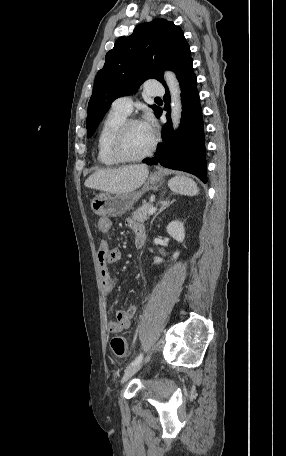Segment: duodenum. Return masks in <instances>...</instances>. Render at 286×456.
<instances>
[{
    "mask_svg": "<svg viewBox=\"0 0 286 456\" xmlns=\"http://www.w3.org/2000/svg\"><path fill=\"white\" fill-rule=\"evenodd\" d=\"M145 242H146V235L141 234L140 236L136 237V239H135V247L137 249H140L144 246Z\"/></svg>",
    "mask_w": 286,
    "mask_h": 456,
    "instance_id": "410a0bca",
    "label": "duodenum"
}]
</instances>
